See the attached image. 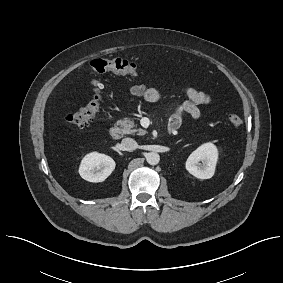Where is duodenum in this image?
Returning a JSON list of instances; mask_svg holds the SVG:
<instances>
[{
	"mask_svg": "<svg viewBox=\"0 0 283 283\" xmlns=\"http://www.w3.org/2000/svg\"><path fill=\"white\" fill-rule=\"evenodd\" d=\"M169 133H171L172 131H174V129L172 127H169ZM109 134L112 138L114 139H119L121 137V129L119 126L117 125H112L110 128H109Z\"/></svg>",
	"mask_w": 283,
	"mask_h": 283,
	"instance_id": "410a0bca",
	"label": "duodenum"
}]
</instances>
